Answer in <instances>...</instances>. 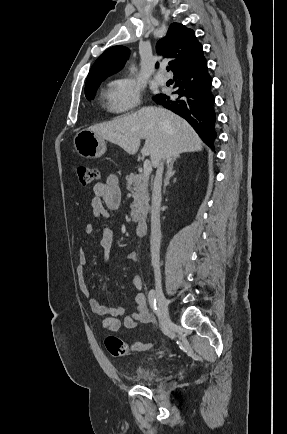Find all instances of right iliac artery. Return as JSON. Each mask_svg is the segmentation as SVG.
Listing matches in <instances>:
<instances>
[{
	"label": "right iliac artery",
	"instance_id": "1",
	"mask_svg": "<svg viewBox=\"0 0 287 434\" xmlns=\"http://www.w3.org/2000/svg\"><path fill=\"white\" fill-rule=\"evenodd\" d=\"M148 301H149V304H150V307L152 308V310L155 313H157L156 296H155V291L153 289L149 291Z\"/></svg>",
	"mask_w": 287,
	"mask_h": 434
}]
</instances>
